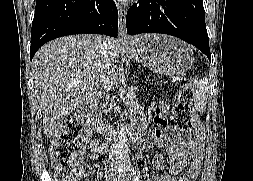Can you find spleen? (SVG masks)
Listing matches in <instances>:
<instances>
[{"label":"spleen","instance_id":"1","mask_svg":"<svg viewBox=\"0 0 253 181\" xmlns=\"http://www.w3.org/2000/svg\"><path fill=\"white\" fill-rule=\"evenodd\" d=\"M209 85L207 79H201L197 84V89L194 92L195 109L203 112L206 108L208 98Z\"/></svg>","mask_w":253,"mask_h":181}]
</instances>
